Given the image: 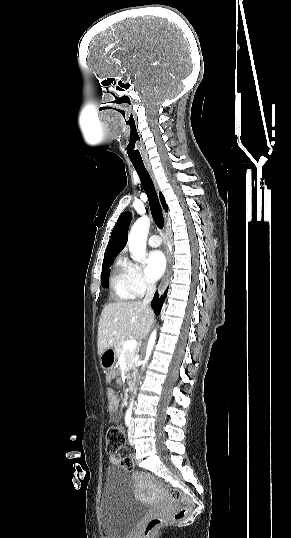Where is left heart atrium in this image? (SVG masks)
<instances>
[{
  "label": "left heart atrium",
  "instance_id": "obj_1",
  "mask_svg": "<svg viewBox=\"0 0 291 538\" xmlns=\"http://www.w3.org/2000/svg\"><path fill=\"white\" fill-rule=\"evenodd\" d=\"M166 259L161 251H152L146 259V275L149 279L155 281L164 272Z\"/></svg>",
  "mask_w": 291,
  "mask_h": 538
}]
</instances>
